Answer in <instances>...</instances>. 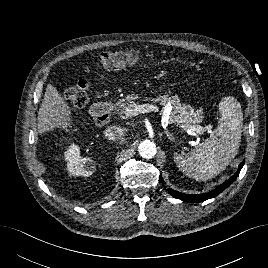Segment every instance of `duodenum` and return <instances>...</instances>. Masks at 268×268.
<instances>
[{
    "instance_id": "duodenum-1",
    "label": "duodenum",
    "mask_w": 268,
    "mask_h": 268,
    "mask_svg": "<svg viewBox=\"0 0 268 268\" xmlns=\"http://www.w3.org/2000/svg\"><path fill=\"white\" fill-rule=\"evenodd\" d=\"M94 116L103 123L109 122L113 112V105L110 102H97L92 106Z\"/></svg>"
}]
</instances>
